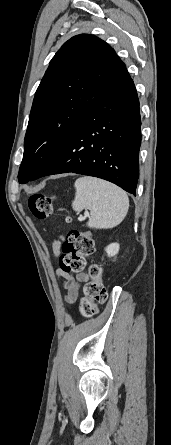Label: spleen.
<instances>
[{
    "instance_id": "3e777b00",
    "label": "spleen",
    "mask_w": 171,
    "mask_h": 445,
    "mask_svg": "<svg viewBox=\"0 0 171 445\" xmlns=\"http://www.w3.org/2000/svg\"><path fill=\"white\" fill-rule=\"evenodd\" d=\"M74 186L76 193L72 207L76 212L90 210L88 227L108 229L123 221L129 199L121 188L89 176L78 178Z\"/></svg>"
}]
</instances>
